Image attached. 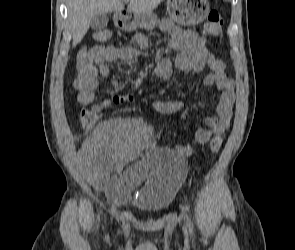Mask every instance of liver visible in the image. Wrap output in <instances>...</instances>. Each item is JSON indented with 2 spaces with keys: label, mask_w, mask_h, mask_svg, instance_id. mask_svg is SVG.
<instances>
[{
  "label": "liver",
  "mask_w": 295,
  "mask_h": 250,
  "mask_svg": "<svg viewBox=\"0 0 295 250\" xmlns=\"http://www.w3.org/2000/svg\"><path fill=\"white\" fill-rule=\"evenodd\" d=\"M124 2H129L128 10L151 12L163 0H67L69 26L75 47L87 33L93 16L124 10Z\"/></svg>",
  "instance_id": "obj_1"
}]
</instances>
